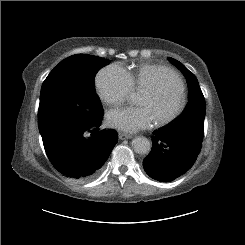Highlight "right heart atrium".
<instances>
[{"mask_svg":"<svg viewBox=\"0 0 245 245\" xmlns=\"http://www.w3.org/2000/svg\"><path fill=\"white\" fill-rule=\"evenodd\" d=\"M95 87L100 99L107 105L124 101L133 90L127 71L118 64L101 68L95 76Z\"/></svg>","mask_w":245,"mask_h":245,"instance_id":"obj_1","label":"right heart atrium"}]
</instances>
